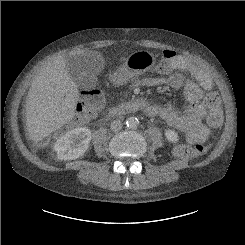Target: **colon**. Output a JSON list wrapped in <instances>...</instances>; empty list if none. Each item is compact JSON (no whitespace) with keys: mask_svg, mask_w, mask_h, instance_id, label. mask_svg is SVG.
I'll return each instance as SVG.
<instances>
[{"mask_svg":"<svg viewBox=\"0 0 245 245\" xmlns=\"http://www.w3.org/2000/svg\"><path fill=\"white\" fill-rule=\"evenodd\" d=\"M174 53H169L171 56ZM219 95L211 91L206 96V105L212 110L210 123L214 127H219L222 122V114L217 110L219 106ZM104 97L101 89L97 86L90 87L82 92V97L77 104V113L73 119L74 126H81L88 123L102 109ZM207 145L204 143L196 144H177L173 148V154L179 158H193L205 153Z\"/></svg>","mask_w":245,"mask_h":245,"instance_id":"obj_1","label":"colon"}]
</instances>
